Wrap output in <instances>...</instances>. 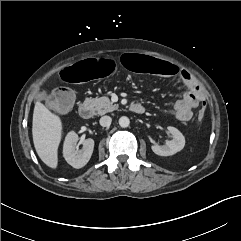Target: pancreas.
Returning a JSON list of instances; mask_svg holds the SVG:
<instances>
[{"label": "pancreas", "mask_w": 241, "mask_h": 241, "mask_svg": "<svg viewBox=\"0 0 241 241\" xmlns=\"http://www.w3.org/2000/svg\"><path fill=\"white\" fill-rule=\"evenodd\" d=\"M94 107L96 114L103 115L118 109V105L113 104L106 96L100 98L89 99Z\"/></svg>", "instance_id": "cf45deb5"}]
</instances>
